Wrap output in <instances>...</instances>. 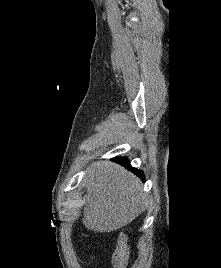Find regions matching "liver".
<instances>
[{
	"label": "liver",
	"instance_id": "liver-1",
	"mask_svg": "<svg viewBox=\"0 0 221 268\" xmlns=\"http://www.w3.org/2000/svg\"><path fill=\"white\" fill-rule=\"evenodd\" d=\"M82 183L87 191L82 222L92 231L122 228L148 206L139 179L113 162L92 163Z\"/></svg>",
	"mask_w": 221,
	"mask_h": 268
}]
</instances>
